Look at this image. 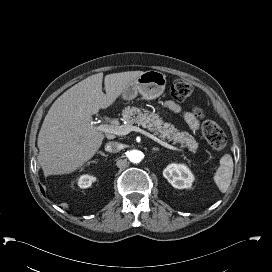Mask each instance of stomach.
<instances>
[{
	"label": "stomach",
	"mask_w": 272,
	"mask_h": 272,
	"mask_svg": "<svg viewBox=\"0 0 272 272\" xmlns=\"http://www.w3.org/2000/svg\"><path fill=\"white\" fill-rule=\"evenodd\" d=\"M166 82V76L162 72L146 71L125 88L122 98L130 101L140 94L146 100L156 99L164 92Z\"/></svg>",
	"instance_id": "1"
}]
</instances>
